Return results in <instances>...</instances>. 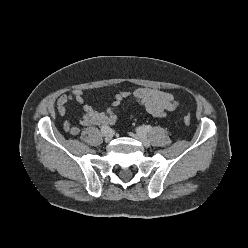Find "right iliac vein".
<instances>
[{
  "mask_svg": "<svg viewBox=\"0 0 248 248\" xmlns=\"http://www.w3.org/2000/svg\"><path fill=\"white\" fill-rule=\"evenodd\" d=\"M105 141L106 142H109L111 139H112V135L111 134H107V135H105Z\"/></svg>",
  "mask_w": 248,
  "mask_h": 248,
  "instance_id": "1",
  "label": "right iliac vein"
}]
</instances>
